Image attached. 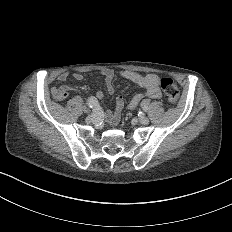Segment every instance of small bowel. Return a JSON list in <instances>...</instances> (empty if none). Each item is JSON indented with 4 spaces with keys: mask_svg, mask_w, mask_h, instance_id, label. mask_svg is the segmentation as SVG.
<instances>
[{
    "mask_svg": "<svg viewBox=\"0 0 232 232\" xmlns=\"http://www.w3.org/2000/svg\"><path fill=\"white\" fill-rule=\"evenodd\" d=\"M98 74L102 77L105 78L106 82L108 83V92L110 94L116 93L117 89L116 87L112 84V81L115 77V71L113 69H101L98 71ZM120 74L122 77L126 78H132L134 79L137 83H139L145 91V94L151 98L154 99H161L162 95L159 90V84L161 82V79L158 74L156 73H142L137 70H121ZM69 78H72L74 80H81L82 76L79 73H62L59 75V80L60 81H65ZM76 88L73 86H51L49 88V92L52 94H57V93H69L71 91H75ZM96 96L98 98H103L104 93L101 89H98L96 91ZM143 95L141 93L135 94L129 104L128 108L129 109H135L140 101L142 100ZM125 102V95L123 93H119L117 96V109L116 111H111L109 110L107 112V119L110 123H114L118 121L121 110L123 109Z\"/></svg>",
    "mask_w": 232,
    "mask_h": 232,
    "instance_id": "c3829d8e",
    "label": "small bowel"
}]
</instances>
